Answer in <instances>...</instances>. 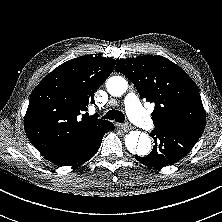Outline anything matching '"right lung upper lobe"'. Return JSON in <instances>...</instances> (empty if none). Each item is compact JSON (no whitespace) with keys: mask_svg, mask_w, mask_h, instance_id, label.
Wrapping results in <instances>:
<instances>
[{"mask_svg":"<svg viewBox=\"0 0 222 222\" xmlns=\"http://www.w3.org/2000/svg\"><path fill=\"white\" fill-rule=\"evenodd\" d=\"M116 61L100 56L71 59L49 73L33 90L24 127L30 142L52 158L83 146L109 121L82 114Z\"/></svg>","mask_w":222,"mask_h":222,"instance_id":"1","label":"right lung upper lobe"}]
</instances>
